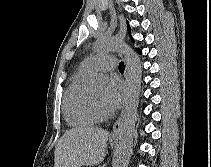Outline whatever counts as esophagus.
<instances>
[{
    "instance_id": "34e87169",
    "label": "esophagus",
    "mask_w": 211,
    "mask_h": 167,
    "mask_svg": "<svg viewBox=\"0 0 211 167\" xmlns=\"http://www.w3.org/2000/svg\"><path fill=\"white\" fill-rule=\"evenodd\" d=\"M123 115H124V105H123V109L119 118L116 120V122L113 125V130L110 135V141H118L119 136H120V131H121Z\"/></svg>"
}]
</instances>
